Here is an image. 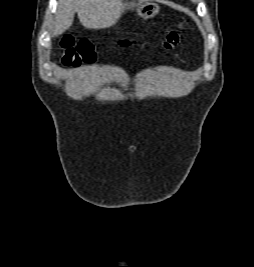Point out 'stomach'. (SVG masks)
<instances>
[{"label": "stomach", "instance_id": "0dacf381", "mask_svg": "<svg viewBox=\"0 0 254 267\" xmlns=\"http://www.w3.org/2000/svg\"><path fill=\"white\" fill-rule=\"evenodd\" d=\"M137 14L143 19L154 17L159 12V6L151 1H145L136 9Z\"/></svg>", "mask_w": 254, "mask_h": 267}]
</instances>
